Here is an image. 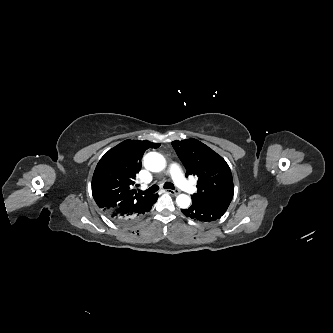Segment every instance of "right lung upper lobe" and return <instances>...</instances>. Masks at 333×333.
Segmentation results:
<instances>
[{
	"mask_svg": "<svg viewBox=\"0 0 333 333\" xmlns=\"http://www.w3.org/2000/svg\"><path fill=\"white\" fill-rule=\"evenodd\" d=\"M159 146V143L147 140H125L104 154L92 178V195L102 211L116 207L130 208L154 195H138L134 180L141 169L144 152Z\"/></svg>",
	"mask_w": 333,
	"mask_h": 333,
	"instance_id": "obj_1",
	"label": "right lung upper lobe"
}]
</instances>
